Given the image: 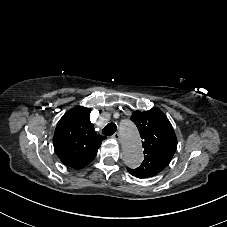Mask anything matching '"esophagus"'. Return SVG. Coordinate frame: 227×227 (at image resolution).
<instances>
[{
  "label": "esophagus",
  "instance_id": "1",
  "mask_svg": "<svg viewBox=\"0 0 227 227\" xmlns=\"http://www.w3.org/2000/svg\"><path fill=\"white\" fill-rule=\"evenodd\" d=\"M112 138L115 139L117 142H120L119 133H115V134L112 136Z\"/></svg>",
  "mask_w": 227,
  "mask_h": 227
}]
</instances>
